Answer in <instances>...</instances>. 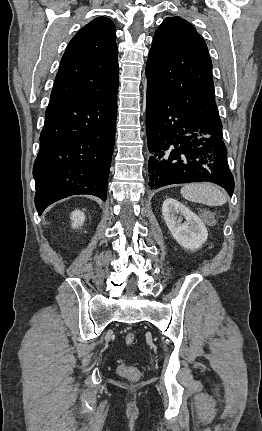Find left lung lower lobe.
I'll return each instance as SVG.
<instances>
[{
    "label": "left lung lower lobe",
    "mask_w": 262,
    "mask_h": 431,
    "mask_svg": "<svg viewBox=\"0 0 262 431\" xmlns=\"http://www.w3.org/2000/svg\"><path fill=\"white\" fill-rule=\"evenodd\" d=\"M146 133L149 186L212 182L230 196L234 178L227 163L222 125L210 126L178 102L148 84Z\"/></svg>",
    "instance_id": "1"
}]
</instances>
